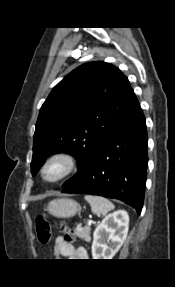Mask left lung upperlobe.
Here are the masks:
<instances>
[{"instance_id": "5c2ea615", "label": "left lung upper lobe", "mask_w": 175, "mask_h": 287, "mask_svg": "<svg viewBox=\"0 0 175 287\" xmlns=\"http://www.w3.org/2000/svg\"><path fill=\"white\" fill-rule=\"evenodd\" d=\"M137 104L127 77L115 66L97 61L73 70L41 107L34 133L32 175L47 156L66 152L76 158L78 172L63 186L80 179L102 141Z\"/></svg>"}]
</instances>
